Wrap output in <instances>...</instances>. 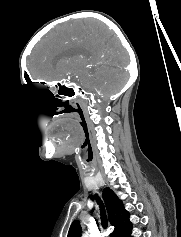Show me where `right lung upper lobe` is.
<instances>
[{"label":"right lung upper lobe","mask_w":181,"mask_h":237,"mask_svg":"<svg viewBox=\"0 0 181 237\" xmlns=\"http://www.w3.org/2000/svg\"><path fill=\"white\" fill-rule=\"evenodd\" d=\"M103 198L109 217V222L114 226L111 237H129L131 235L132 223L129 220V212L124 208L122 201L110 189L105 188ZM81 226L78 220H75L69 229L67 237H80Z\"/></svg>","instance_id":"cb5924a9"}]
</instances>
